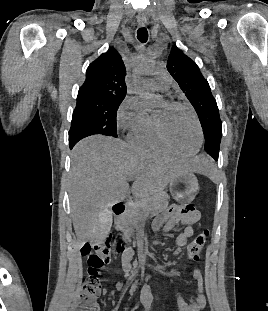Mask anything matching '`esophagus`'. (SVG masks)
Returning <instances> with one entry per match:
<instances>
[{
	"instance_id": "1",
	"label": "esophagus",
	"mask_w": 268,
	"mask_h": 311,
	"mask_svg": "<svg viewBox=\"0 0 268 311\" xmlns=\"http://www.w3.org/2000/svg\"><path fill=\"white\" fill-rule=\"evenodd\" d=\"M137 21H138V25L141 26V27L145 26L146 23H147L146 17L143 16V15L139 16Z\"/></svg>"
}]
</instances>
